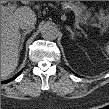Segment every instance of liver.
Listing matches in <instances>:
<instances>
[{
  "label": "liver",
  "mask_w": 109,
  "mask_h": 109,
  "mask_svg": "<svg viewBox=\"0 0 109 109\" xmlns=\"http://www.w3.org/2000/svg\"><path fill=\"white\" fill-rule=\"evenodd\" d=\"M3 13V11H2ZM37 20L29 7H21L1 18V76L7 78L17 67L21 34L20 23Z\"/></svg>",
  "instance_id": "liver-1"
}]
</instances>
